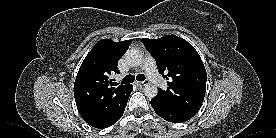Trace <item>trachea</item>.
<instances>
[{"label":"trachea","instance_id":"trachea-1","mask_svg":"<svg viewBox=\"0 0 276 138\" xmlns=\"http://www.w3.org/2000/svg\"><path fill=\"white\" fill-rule=\"evenodd\" d=\"M134 80H135L134 76H132V75H126L123 78L122 83L123 84H129V83H132ZM136 80H138V81H144L145 80V76L143 74H138L136 76Z\"/></svg>","mask_w":276,"mask_h":138}]
</instances>
